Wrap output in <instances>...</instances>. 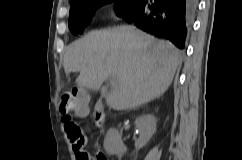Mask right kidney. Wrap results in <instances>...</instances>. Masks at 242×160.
<instances>
[{"mask_svg":"<svg viewBox=\"0 0 242 160\" xmlns=\"http://www.w3.org/2000/svg\"><path fill=\"white\" fill-rule=\"evenodd\" d=\"M156 117L151 114L139 116L135 120L136 128L139 131V138L135 141L136 149L144 147L156 132ZM104 148L110 155H123L127 148L122 142L118 130L110 128L104 140Z\"/></svg>","mask_w":242,"mask_h":160,"instance_id":"ca27d5eb","label":"right kidney"}]
</instances>
